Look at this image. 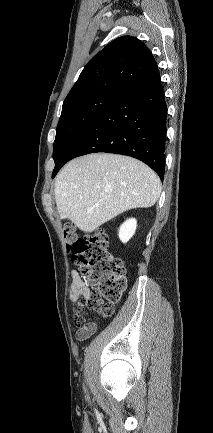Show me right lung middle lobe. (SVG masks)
<instances>
[{"instance_id":"dd1d6c3e","label":"right lung middle lobe","mask_w":213,"mask_h":433,"mask_svg":"<svg viewBox=\"0 0 213 433\" xmlns=\"http://www.w3.org/2000/svg\"><path fill=\"white\" fill-rule=\"evenodd\" d=\"M121 93L102 92L63 104L54 141V161L73 139L100 116Z\"/></svg>"}]
</instances>
